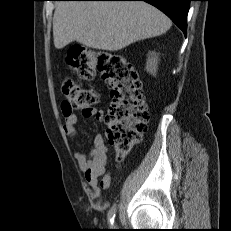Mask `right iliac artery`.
<instances>
[{
  "label": "right iliac artery",
  "mask_w": 231,
  "mask_h": 231,
  "mask_svg": "<svg viewBox=\"0 0 231 231\" xmlns=\"http://www.w3.org/2000/svg\"><path fill=\"white\" fill-rule=\"evenodd\" d=\"M116 214V206H112L111 209L108 212V222L110 225H113L114 219Z\"/></svg>",
  "instance_id": "1"
}]
</instances>
